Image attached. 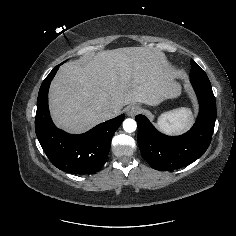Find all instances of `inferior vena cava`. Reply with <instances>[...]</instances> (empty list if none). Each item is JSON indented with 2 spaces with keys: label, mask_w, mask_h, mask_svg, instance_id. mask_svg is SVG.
Here are the masks:
<instances>
[{
  "label": "inferior vena cava",
  "mask_w": 236,
  "mask_h": 236,
  "mask_svg": "<svg viewBox=\"0 0 236 236\" xmlns=\"http://www.w3.org/2000/svg\"><path fill=\"white\" fill-rule=\"evenodd\" d=\"M118 114H119L118 110H113V111L106 112L104 116L106 119H111V118H114L115 116H117Z\"/></svg>",
  "instance_id": "obj_1"
}]
</instances>
